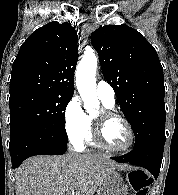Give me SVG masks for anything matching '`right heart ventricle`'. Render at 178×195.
<instances>
[{
    "mask_svg": "<svg viewBox=\"0 0 178 195\" xmlns=\"http://www.w3.org/2000/svg\"><path fill=\"white\" fill-rule=\"evenodd\" d=\"M102 103H103V106L105 108L111 109L113 107V105L107 104L104 101H102ZM88 119H89V133H88V136H87V139L86 140L88 141V143L90 145L96 146L97 144L95 143V141L93 139L92 117L91 116H88Z\"/></svg>",
    "mask_w": 178,
    "mask_h": 195,
    "instance_id": "right-heart-ventricle-1",
    "label": "right heart ventricle"
}]
</instances>
